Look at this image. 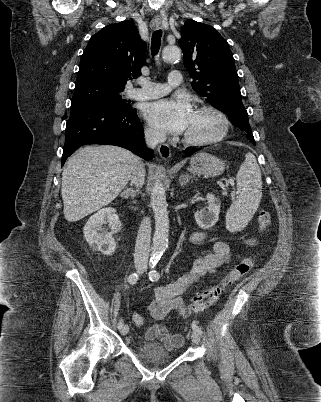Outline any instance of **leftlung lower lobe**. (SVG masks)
<instances>
[{"mask_svg":"<svg viewBox=\"0 0 321 402\" xmlns=\"http://www.w3.org/2000/svg\"><path fill=\"white\" fill-rule=\"evenodd\" d=\"M235 126H237L240 130H242L241 126H239L238 124H233ZM251 142L255 145V140L251 139ZM201 148H197V149H186L185 153L187 156H191L193 153L199 151Z\"/></svg>","mask_w":321,"mask_h":402,"instance_id":"obj_1","label":"left lung lower lobe"}]
</instances>
